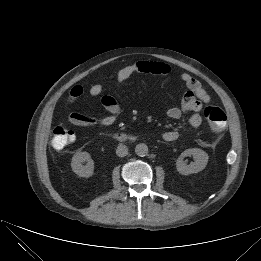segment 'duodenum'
<instances>
[{"label": "duodenum", "instance_id": "410a0bca", "mask_svg": "<svg viewBox=\"0 0 261 261\" xmlns=\"http://www.w3.org/2000/svg\"><path fill=\"white\" fill-rule=\"evenodd\" d=\"M114 138L121 142H129L134 141V136L124 133V132H116L114 133Z\"/></svg>", "mask_w": 261, "mask_h": 261}]
</instances>
